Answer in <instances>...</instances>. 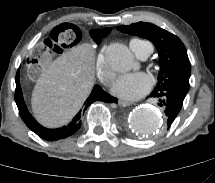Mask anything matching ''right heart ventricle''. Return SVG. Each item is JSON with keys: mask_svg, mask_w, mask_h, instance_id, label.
Returning a JSON list of instances; mask_svg holds the SVG:
<instances>
[{"mask_svg": "<svg viewBox=\"0 0 215 183\" xmlns=\"http://www.w3.org/2000/svg\"><path fill=\"white\" fill-rule=\"evenodd\" d=\"M144 46L152 47V45L148 41H145V40L133 39L130 42V47L136 55H138L140 53V51L142 50V48Z\"/></svg>", "mask_w": 215, "mask_h": 183, "instance_id": "right-heart-ventricle-1", "label": "right heart ventricle"}]
</instances>
